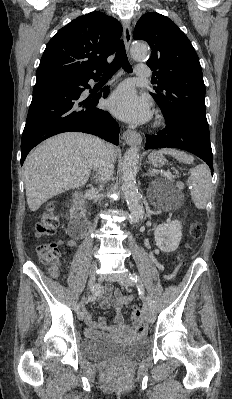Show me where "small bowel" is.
Wrapping results in <instances>:
<instances>
[{"mask_svg":"<svg viewBox=\"0 0 232 399\" xmlns=\"http://www.w3.org/2000/svg\"><path fill=\"white\" fill-rule=\"evenodd\" d=\"M107 292L109 296L101 299L100 306L101 308H107L111 303L110 295H115V322L108 323L103 316H98L94 320L85 306L79 307V311L85 319V323L82 325V330L85 332L87 341L91 345L97 343L100 331L104 333L105 338H113L116 334L129 333L131 331V327L122 321V308L130 301V297L123 296L119 290L115 289L111 285H108Z\"/></svg>","mask_w":232,"mask_h":399,"instance_id":"small-bowel-1","label":"small bowel"}]
</instances>
